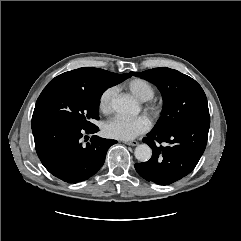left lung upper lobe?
<instances>
[{"instance_id":"obj_1","label":"left lung upper lobe","mask_w":241,"mask_h":241,"mask_svg":"<svg viewBox=\"0 0 241 241\" xmlns=\"http://www.w3.org/2000/svg\"><path fill=\"white\" fill-rule=\"evenodd\" d=\"M131 74L154 83L162 93L163 110L153 131L168 132L195 121L210 120L206 95L191 77L166 67Z\"/></svg>"}]
</instances>
